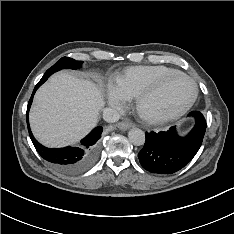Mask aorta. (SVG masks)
<instances>
[{
  "instance_id": "obj_1",
  "label": "aorta",
  "mask_w": 234,
  "mask_h": 234,
  "mask_svg": "<svg viewBox=\"0 0 234 234\" xmlns=\"http://www.w3.org/2000/svg\"><path fill=\"white\" fill-rule=\"evenodd\" d=\"M128 138L135 146H141L145 143V133L139 128H132L128 132Z\"/></svg>"
}]
</instances>
